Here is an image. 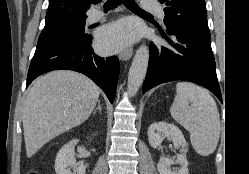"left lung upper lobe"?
<instances>
[{
  "instance_id": "obj_1",
  "label": "left lung upper lobe",
  "mask_w": 249,
  "mask_h": 174,
  "mask_svg": "<svg viewBox=\"0 0 249 174\" xmlns=\"http://www.w3.org/2000/svg\"><path fill=\"white\" fill-rule=\"evenodd\" d=\"M164 4L167 32L187 30L210 32L205 0H159Z\"/></svg>"
}]
</instances>
